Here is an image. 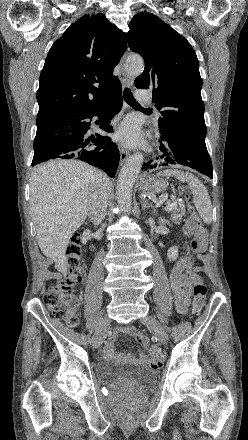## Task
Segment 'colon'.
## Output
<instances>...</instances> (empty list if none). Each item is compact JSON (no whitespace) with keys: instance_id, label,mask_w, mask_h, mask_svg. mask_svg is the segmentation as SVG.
<instances>
[{"instance_id":"5ec220e1","label":"colon","mask_w":248,"mask_h":440,"mask_svg":"<svg viewBox=\"0 0 248 440\" xmlns=\"http://www.w3.org/2000/svg\"><path fill=\"white\" fill-rule=\"evenodd\" d=\"M189 221L194 225L196 234L191 242L192 255L202 252L205 248L206 234L203 224L194 208L193 202L186 194ZM67 269L64 278L52 284L44 296V302L51 314L58 319L64 320L69 326L79 324L77 315L78 300L74 295V286L81 280L82 261L80 237L73 235L66 252ZM189 269L193 284L192 313L200 314L205 304L207 287L203 279L193 271V259L189 263ZM136 342L142 347H148L149 339L143 333L135 334Z\"/></svg>"}]
</instances>
